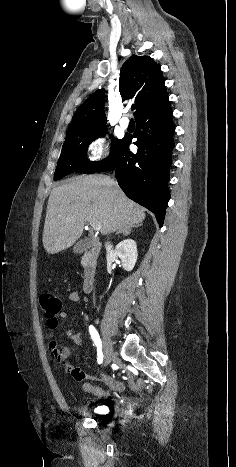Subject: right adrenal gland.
Returning a JSON list of instances; mask_svg holds the SVG:
<instances>
[{"instance_id":"right-adrenal-gland-1","label":"right adrenal gland","mask_w":236,"mask_h":467,"mask_svg":"<svg viewBox=\"0 0 236 467\" xmlns=\"http://www.w3.org/2000/svg\"><path fill=\"white\" fill-rule=\"evenodd\" d=\"M139 226H141V224H137V225H134V226H127V227H125V228L119 230V231L116 233V235H120V234L129 235L130 232H131V230H132V228H134V227H139Z\"/></svg>"}]
</instances>
